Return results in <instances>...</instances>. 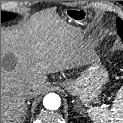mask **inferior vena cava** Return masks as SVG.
Instances as JSON below:
<instances>
[{
	"label": "inferior vena cava",
	"instance_id": "1",
	"mask_svg": "<svg viewBox=\"0 0 123 123\" xmlns=\"http://www.w3.org/2000/svg\"><path fill=\"white\" fill-rule=\"evenodd\" d=\"M24 94L26 96V98H31L35 96V91H34V87L29 85L24 89Z\"/></svg>",
	"mask_w": 123,
	"mask_h": 123
}]
</instances>
